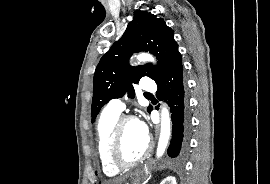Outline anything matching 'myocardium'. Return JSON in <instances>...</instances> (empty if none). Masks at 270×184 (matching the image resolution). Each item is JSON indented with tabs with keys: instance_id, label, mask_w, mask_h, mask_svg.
<instances>
[{
	"instance_id": "1",
	"label": "myocardium",
	"mask_w": 270,
	"mask_h": 184,
	"mask_svg": "<svg viewBox=\"0 0 270 184\" xmlns=\"http://www.w3.org/2000/svg\"><path fill=\"white\" fill-rule=\"evenodd\" d=\"M130 121H138V120L133 115H124V116L119 117V119L117 120L113 128V132L110 139L109 151H108L109 160L114 167L120 170L133 167L143 162L150 155L151 150H152V141L148 137L146 149L139 158L135 160L127 161L121 157V143H122L123 129L126 123Z\"/></svg>"
}]
</instances>
